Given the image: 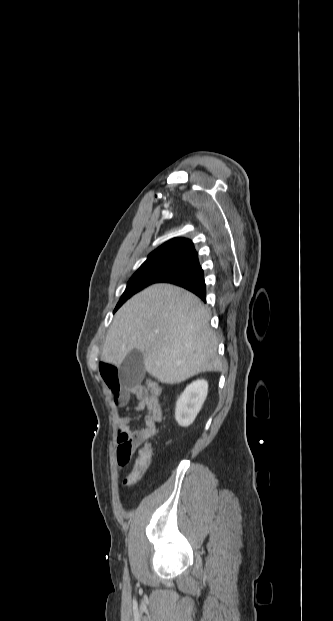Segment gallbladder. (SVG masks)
Masks as SVG:
<instances>
[{"label":"gallbladder","mask_w":333,"mask_h":621,"mask_svg":"<svg viewBox=\"0 0 333 621\" xmlns=\"http://www.w3.org/2000/svg\"><path fill=\"white\" fill-rule=\"evenodd\" d=\"M144 376L145 366L143 355L138 350H132L119 367V380L123 385L132 387L140 383Z\"/></svg>","instance_id":"obj_1"}]
</instances>
